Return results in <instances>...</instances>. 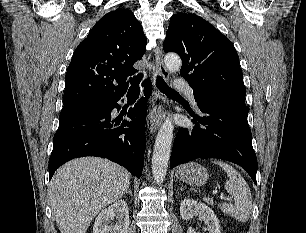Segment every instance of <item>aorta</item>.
Instances as JSON below:
<instances>
[{
  "label": "aorta",
  "instance_id": "obj_1",
  "mask_svg": "<svg viewBox=\"0 0 306 233\" xmlns=\"http://www.w3.org/2000/svg\"><path fill=\"white\" fill-rule=\"evenodd\" d=\"M167 69L171 72L179 71L182 66L180 57L175 53H168L164 58ZM174 125L168 117L161 125L156 137L152 156V174L156 183L164 181L171 153Z\"/></svg>",
  "mask_w": 306,
  "mask_h": 233
}]
</instances>
